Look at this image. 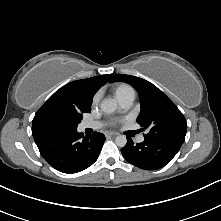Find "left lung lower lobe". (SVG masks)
I'll return each mask as SVG.
<instances>
[{
	"label": "left lung lower lobe",
	"instance_id": "0a47b994",
	"mask_svg": "<svg viewBox=\"0 0 221 221\" xmlns=\"http://www.w3.org/2000/svg\"><path fill=\"white\" fill-rule=\"evenodd\" d=\"M183 143L174 140H159L145 138L143 142L134 144L127 137V144L121 149L123 157L134 166L155 170L168 164Z\"/></svg>",
	"mask_w": 221,
	"mask_h": 221
}]
</instances>
